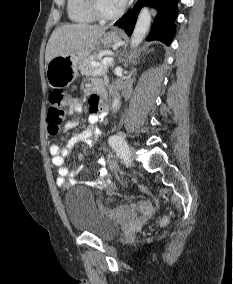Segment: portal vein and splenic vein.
Here are the masks:
<instances>
[{"instance_id":"1","label":"portal vein and splenic vein","mask_w":233,"mask_h":284,"mask_svg":"<svg viewBox=\"0 0 233 284\" xmlns=\"http://www.w3.org/2000/svg\"><path fill=\"white\" fill-rule=\"evenodd\" d=\"M112 62H113V58H112V57H105L104 59L101 60V62H95V61H93V62L91 63V65H92L93 67H97V66H99V65H101V64L107 65V64H110V63H112Z\"/></svg>"}]
</instances>
